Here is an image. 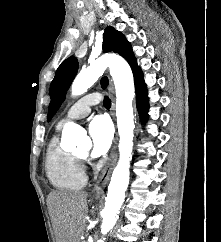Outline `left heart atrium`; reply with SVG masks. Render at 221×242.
Masks as SVG:
<instances>
[{
  "label": "left heart atrium",
  "instance_id": "1",
  "mask_svg": "<svg viewBox=\"0 0 221 242\" xmlns=\"http://www.w3.org/2000/svg\"><path fill=\"white\" fill-rule=\"evenodd\" d=\"M92 142V155L98 157L108 151L113 139V129L109 120L104 116L92 119L88 126Z\"/></svg>",
  "mask_w": 221,
  "mask_h": 242
}]
</instances>
